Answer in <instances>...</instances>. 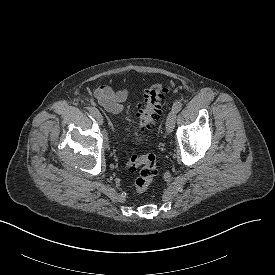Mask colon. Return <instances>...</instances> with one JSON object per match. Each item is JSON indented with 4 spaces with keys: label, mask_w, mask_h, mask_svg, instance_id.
I'll return each instance as SVG.
<instances>
[{
    "label": "colon",
    "mask_w": 275,
    "mask_h": 275,
    "mask_svg": "<svg viewBox=\"0 0 275 275\" xmlns=\"http://www.w3.org/2000/svg\"><path fill=\"white\" fill-rule=\"evenodd\" d=\"M166 92L167 88L161 83H155L145 90L143 103L137 113L139 130L149 129L159 119ZM126 167L130 171L140 167L139 174L134 181V187L138 193H144L157 175L156 157L153 154L141 157L130 154L127 157Z\"/></svg>",
    "instance_id": "5ec220e1"
}]
</instances>
